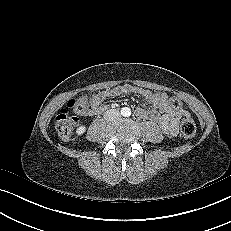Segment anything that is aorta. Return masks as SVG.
<instances>
[{
    "instance_id": "762f6f07",
    "label": "aorta",
    "mask_w": 231,
    "mask_h": 231,
    "mask_svg": "<svg viewBox=\"0 0 231 231\" xmlns=\"http://www.w3.org/2000/svg\"><path fill=\"white\" fill-rule=\"evenodd\" d=\"M122 114H123L125 117H127V116H129V115L131 114V111H130L129 108H123V109H122Z\"/></svg>"
}]
</instances>
